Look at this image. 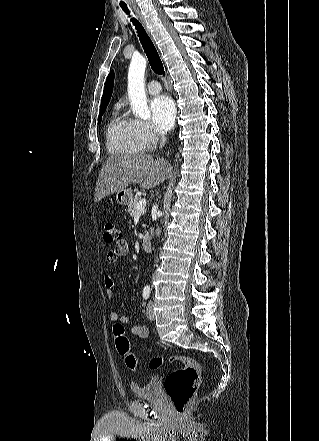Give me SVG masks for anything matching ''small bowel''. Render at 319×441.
<instances>
[{"mask_svg":"<svg viewBox=\"0 0 319 441\" xmlns=\"http://www.w3.org/2000/svg\"><path fill=\"white\" fill-rule=\"evenodd\" d=\"M129 245L125 240H119L116 247L107 253V261L109 263H116L118 259L125 256L128 253ZM106 295L108 298L114 296V280L111 276L106 275L104 279ZM110 318L114 322L128 323L129 318L125 315L121 316L116 311H112ZM131 333L139 338H146L148 335V330L143 325H134L130 329Z\"/></svg>","mask_w":319,"mask_h":441,"instance_id":"c3829d8e","label":"small bowel"}]
</instances>
